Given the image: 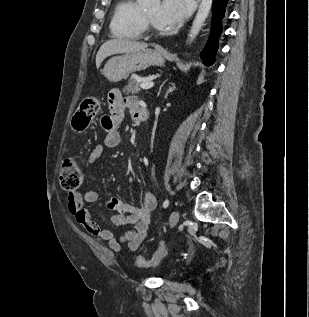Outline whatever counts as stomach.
<instances>
[{
  "label": "stomach",
  "mask_w": 309,
  "mask_h": 317,
  "mask_svg": "<svg viewBox=\"0 0 309 317\" xmlns=\"http://www.w3.org/2000/svg\"><path fill=\"white\" fill-rule=\"evenodd\" d=\"M167 57V53L160 47L125 53L110 58L104 66L103 74L110 82L116 83L149 66L164 65Z\"/></svg>",
  "instance_id": "obj_1"
}]
</instances>
